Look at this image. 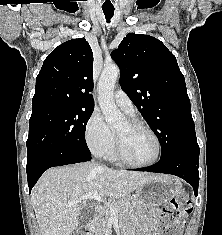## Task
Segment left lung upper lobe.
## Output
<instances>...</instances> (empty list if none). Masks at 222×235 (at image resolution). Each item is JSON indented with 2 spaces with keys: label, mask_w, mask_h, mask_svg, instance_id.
Masks as SVG:
<instances>
[{
  "label": "left lung upper lobe",
  "mask_w": 222,
  "mask_h": 235,
  "mask_svg": "<svg viewBox=\"0 0 222 235\" xmlns=\"http://www.w3.org/2000/svg\"><path fill=\"white\" fill-rule=\"evenodd\" d=\"M111 56L121 88L158 136L161 158L200 151L185 79L168 48L152 36L129 33Z\"/></svg>",
  "instance_id": "1"
}]
</instances>
